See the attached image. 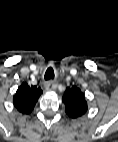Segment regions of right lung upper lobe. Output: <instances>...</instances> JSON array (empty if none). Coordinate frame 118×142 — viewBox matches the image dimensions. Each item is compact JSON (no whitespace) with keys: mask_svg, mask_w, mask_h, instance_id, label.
Segmentation results:
<instances>
[{"mask_svg":"<svg viewBox=\"0 0 118 142\" xmlns=\"http://www.w3.org/2000/svg\"><path fill=\"white\" fill-rule=\"evenodd\" d=\"M41 94L42 90L40 87L28 86L27 83H22L13 97L14 106L19 112L29 114Z\"/></svg>","mask_w":118,"mask_h":142,"instance_id":"right-lung-upper-lobe-1","label":"right lung upper lobe"}]
</instances>
